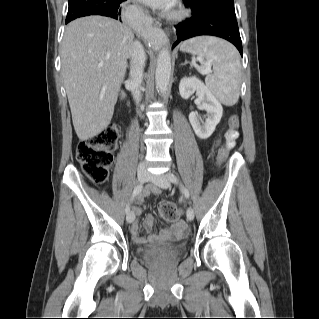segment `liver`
<instances>
[{
    "label": "liver",
    "mask_w": 319,
    "mask_h": 319,
    "mask_svg": "<svg viewBox=\"0 0 319 319\" xmlns=\"http://www.w3.org/2000/svg\"><path fill=\"white\" fill-rule=\"evenodd\" d=\"M133 37L126 25L99 15L67 25L61 46V72L80 140L100 134L109 125Z\"/></svg>",
    "instance_id": "1"
}]
</instances>
